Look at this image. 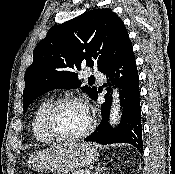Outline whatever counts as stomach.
<instances>
[{"mask_svg":"<svg viewBox=\"0 0 175 174\" xmlns=\"http://www.w3.org/2000/svg\"><path fill=\"white\" fill-rule=\"evenodd\" d=\"M98 157L99 153L92 144L79 143L35 152L30 155L28 164L37 171L68 174L77 168L94 163Z\"/></svg>","mask_w":175,"mask_h":174,"instance_id":"obj_1","label":"stomach"}]
</instances>
